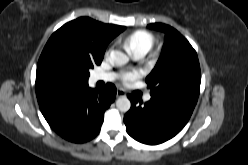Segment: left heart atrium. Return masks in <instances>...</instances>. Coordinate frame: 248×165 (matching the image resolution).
<instances>
[{
  "label": "left heart atrium",
  "instance_id": "left-heart-atrium-1",
  "mask_svg": "<svg viewBox=\"0 0 248 165\" xmlns=\"http://www.w3.org/2000/svg\"><path fill=\"white\" fill-rule=\"evenodd\" d=\"M139 73L136 71H132V72H126L123 73L121 76V81L126 84L129 85L132 82H134L135 80H137L139 78Z\"/></svg>",
  "mask_w": 248,
  "mask_h": 165
}]
</instances>
